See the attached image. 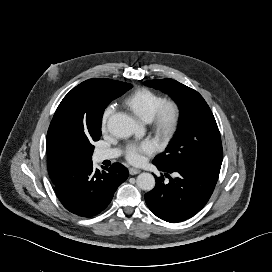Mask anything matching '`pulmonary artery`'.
<instances>
[{"label": "pulmonary artery", "instance_id": "obj_1", "mask_svg": "<svg viewBox=\"0 0 272 272\" xmlns=\"http://www.w3.org/2000/svg\"><path fill=\"white\" fill-rule=\"evenodd\" d=\"M119 155V150L117 149H101L95 152V159L98 162L104 160L114 159Z\"/></svg>", "mask_w": 272, "mask_h": 272}]
</instances>
